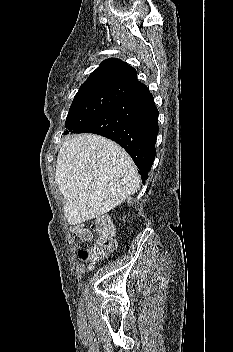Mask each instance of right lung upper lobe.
Returning a JSON list of instances; mask_svg holds the SVG:
<instances>
[{"mask_svg":"<svg viewBox=\"0 0 233 352\" xmlns=\"http://www.w3.org/2000/svg\"><path fill=\"white\" fill-rule=\"evenodd\" d=\"M136 70L117 58L104 60L94 70L80 88L117 85L135 89L137 92L147 89L136 77Z\"/></svg>","mask_w":233,"mask_h":352,"instance_id":"cb5924a9","label":"right lung upper lobe"}]
</instances>
